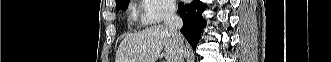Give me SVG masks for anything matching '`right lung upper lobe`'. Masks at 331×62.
<instances>
[{
	"instance_id": "cb5924a9",
	"label": "right lung upper lobe",
	"mask_w": 331,
	"mask_h": 62,
	"mask_svg": "<svg viewBox=\"0 0 331 62\" xmlns=\"http://www.w3.org/2000/svg\"><path fill=\"white\" fill-rule=\"evenodd\" d=\"M120 1H122V0H116V3L120 2Z\"/></svg>"
}]
</instances>
